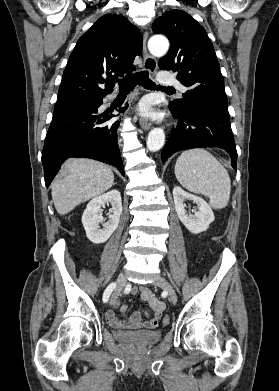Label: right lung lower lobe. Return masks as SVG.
Instances as JSON below:
<instances>
[{
  "label": "right lung lower lobe",
  "instance_id": "98d812e1",
  "mask_svg": "<svg viewBox=\"0 0 279 391\" xmlns=\"http://www.w3.org/2000/svg\"><path fill=\"white\" fill-rule=\"evenodd\" d=\"M102 104L101 98L54 108L42 152L46 186L69 157L96 159L117 167L124 175L117 143L119 122L111 121L114 115L98 114Z\"/></svg>",
  "mask_w": 279,
  "mask_h": 391
}]
</instances>
